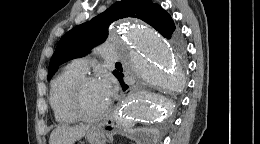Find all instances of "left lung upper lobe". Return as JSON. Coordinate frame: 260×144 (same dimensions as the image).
Wrapping results in <instances>:
<instances>
[{
    "label": "left lung upper lobe",
    "mask_w": 260,
    "mask_h": 144,
    "mask_svg": "<svg viewBox=\"0 0 260 144\" xmlns=\"http://www.w3.org/2000/svg\"><path fill=\"white\" fill-rule=\"evenodd\" d=\"M125 17L143 20L168 39L175 36L174 22L160 5L152 3V0H121L61 37L50 60L47 79L55 74L61 64L82 57L94 46L103 43L108 36V26L113 21ZM118 73L116 70L113 71L115 76Z\"/></svg>",
    "instance_id": "obj_1"
}]
</instances>
